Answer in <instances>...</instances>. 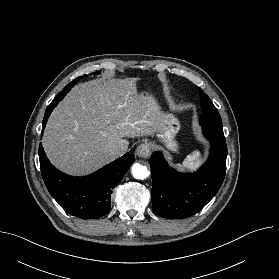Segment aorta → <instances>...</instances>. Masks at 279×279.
<instances>
[{"label":"aorta","instance_id":"762f6f07","mask_svg":"<svg viewBox=\"0 0 279 279\" xmlns=\"http://www.w3.org/2000/svg\"><path fill=\"white\" fill-rule=\"evenodd\" d=\"M132 175L136 179L143 180L149 176V171L145 166L135 163L132 166Z\"/></svg>","mask_w":279,"mask_h":279}]
</instances>
